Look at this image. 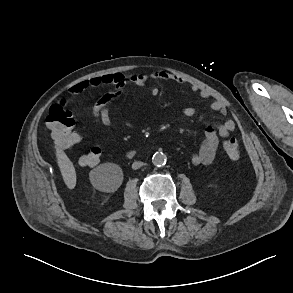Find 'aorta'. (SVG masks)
I'll return each mask as SVG.
<instances>
[{
    "label": "aorta",
    "mask_w": 293,
    "mask_h": 293,
    "mask_svg": "<svg viewBox=\"0 0 293 293\" xmlns=\"http://www.w3.org/2000/svg\"><path fill=\"white\" fill-rule=\"evenodd\" d=\"M166 160V156L162 152H157L152 157V163L158 167L165 165Z\"/></svg>",
    "instance_id": "762f6f07"
}]
</instances>
